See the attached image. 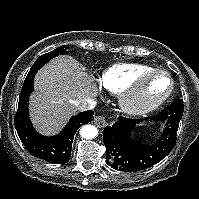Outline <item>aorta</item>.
I'll use <instances>...</instances> for the list:
<instances>
[{
	"instance_id": "762f6f07",
	"label": "aorta",
	"mask_w": 199,
	"mask_h": 199,
	"mask_svg": "<svg viewBox=\"0 0 199 199\" xmlns=\"http://www.w3.org/2000/svg\"><path fill=\"white\" fill-rule=\"evenodd\" d=\"M80 135L85 139H92L98 135V129L93 125H84L80 130Z\"/></svg>"
}]
</instances>
